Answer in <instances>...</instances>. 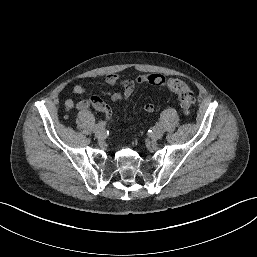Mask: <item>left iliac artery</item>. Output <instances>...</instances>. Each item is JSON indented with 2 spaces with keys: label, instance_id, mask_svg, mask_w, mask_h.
I'll list each match as a JSON object with an SVG mask.
<instances>
[{
  "label": "left iliac artery",
  "instance_id": "left-iliac-artery-1",
  "mask_svg": "<svg viewBox=\"0 0 257 257\" xmlns=\"http://www.w3.org/2000/svg\"><path fill=\"white\" fill-rule=\"evenodd\" d=\"M160 127H161L160 122H157V123H156V129H157V128H160Z\"/></svg>",
  "mask_w": 257,
  "mask_h": 257
}]
</instances>
